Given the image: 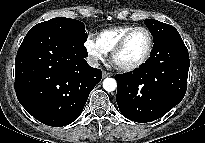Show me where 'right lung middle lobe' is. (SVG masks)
<instances>
[{
	"label": "right lung middle lobe",
	"mask_w": 205,
	"mask_h": 143,
	"mask_svg": "<svg viewBox=\"0 0 205 143\" xmlns=\"http://www.w3.org/2000/svg\"><path fill=\"white\" fill-rule=\"evenodd\" d=\"M40 27L56 29L57 31H60L81 43H85L87 40V33L85 31L84 24L75 19L57 17L34 26V28Z\"/></svg>",
	"instance_id": "right-lung-middle-lobe-1"
}]
</instances>
